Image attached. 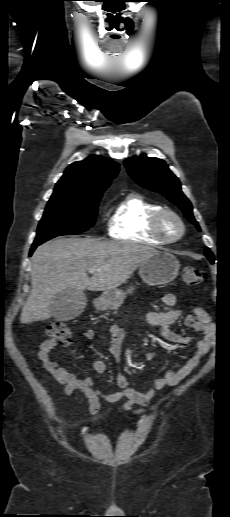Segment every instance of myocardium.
I'll list each match as a JSON object with an SVG mask.
<instances>
[{"mask_svg":"<svg viewBox=\"0 0 230 517\" xmlns=\"http://www.w3.org/2000/svg\"><path fill=\"white\" fill-rule=\"evenodd\" d=\"M168 219H172L178 226V232L171 236L166 232L165 224ZM152 233L164 243H174L182 238L185 233V224L181 217L173 210L162 208L151 218Z\"/></svg>","mask_w":230,"mask_h":517,"instance_id":"obj_1","label":"myocardium"}]
</instances>
